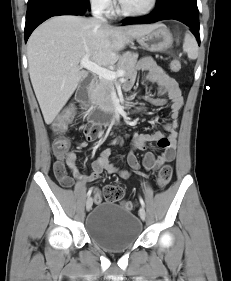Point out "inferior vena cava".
Masks as SVG:
<instances>
[{"mask_svg":"<svg viewBox=\"0 0 231 281\" xmlns=\"http://www.w3.org/2000/svg\"><path fill=\"white\" fill-rule=\"evenodd\" d=\"M105 6V3L100 0H93L91 4V10L94 18L100 20L102 23H106V20L102 17Z\"/></svg>","mask_w":231,"mask_h":281,"instance_id":"602c4592","label":"inferior vena cava"}]
</instances>
